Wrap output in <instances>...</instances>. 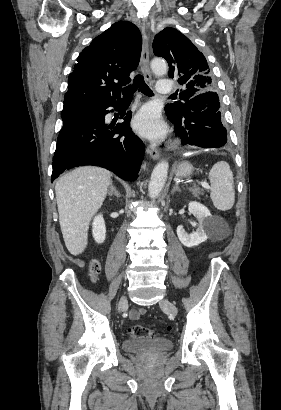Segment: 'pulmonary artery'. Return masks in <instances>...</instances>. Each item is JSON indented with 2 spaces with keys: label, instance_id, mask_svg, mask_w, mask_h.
Instances as JSON below:
<instances>
[{
  "label": "pulmonary artery",
  "instance_id": "obj_1",
  "mask_svg": "<svg viewBox=\"0 0 281 410\" xmlns=\"http://www.w3.org/2000/svg\"><path fill=\"white\" fill-rule=\"evenodd\" d=\"M156 90L160 94H170L173 92V82L170 80L160 81L157 86Z\"/></svg>",
  "mask_w": 281,
  "mask_h": 410
}]
</instances>
